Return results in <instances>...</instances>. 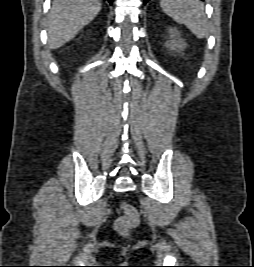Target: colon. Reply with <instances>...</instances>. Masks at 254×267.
<instances>
[{
    "mask_svg": "<svg viewBox=\"0 0 254 267\" xmlns=\"http://www.w3.org/2000/svg\"><path fill=\"white\" fill-rule=\"evenodd\" d=\"M123 215L115 221V229L122 235H126L128 231L135 227L139 222L137 210L129 203L122 205Z\"/></svg>",
    "mask_w": 254,
    "mask_h": 267,
    "instance_id": "colon-1",
    "label": "colon"
}]
</instances>
